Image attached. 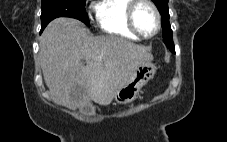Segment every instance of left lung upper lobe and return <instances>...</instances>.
Wrapping results in <instances>:
<instances>
[{
    "instance_id": "5c2ea615",
    "label": "left lung upper lobe",
    "mask_w": 227,
    "mask_h": 142,
    "mask_svg": "<svg viewBox=\"0 0 227 142\" xmlns=\"http://www.w3.org/2000/svg\"><path fill=\"white\" fill-rule=\"evenodd\" d=\"M157 6L161 16H162V26H163V41L166 46L174 51L175 46L172 38V30L169 24V11H168V1L169 0H152Z\"/></svg>"
}]
</instances>
